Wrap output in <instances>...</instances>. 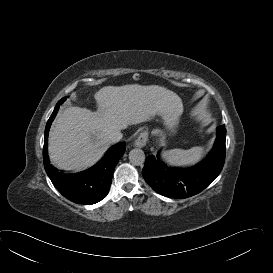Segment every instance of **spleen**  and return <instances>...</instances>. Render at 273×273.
I'll return each mask as SVG.
<instances>
[{
  "mask_svg": "<svg viewBox=\"0 0 273 273\" xmlns=\"http://www.w3.org/2000/svg\"><path fill=\"white\" fill-rule=\"evenodd\" d=\"M203 152L202 147H193L189 150L173 149L168 151L166 156L173 164H187L198 160Z\"/></svg>",
  "mask_w": 273,
  "mask_h": 273,
  "instance_id": "3e777b00",
  "label": "spleen"
}]
</instances>
